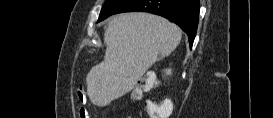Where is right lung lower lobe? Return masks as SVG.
Wrapping results in <instances>:
<instances>
[{
  "mask_svg": "<svg viewBox=\"0 0 273 118\" xmlns=\"http://www.w3.org/2000/svg\"><path fill=\"white\" fill-rule=\"evenodd\" d=\"M199 9V0H122L110 15L124 12H149L160 15L181 27L188 35L192 47L198 26Z\"/></svg>",
  "mask_w": 273,
  "mask_h": 118,
  "instance_id": "1",
  "label": "right lung lower lobe"
}]
</instances>
